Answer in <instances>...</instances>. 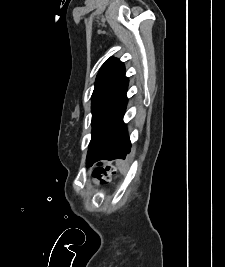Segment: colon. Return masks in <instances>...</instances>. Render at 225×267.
Instances as JSON below:
<instances>
[{
	"label": "colon",
	"mask_w": 225,
	"mask_h": 267,
	"mask_svg": "<svg viewBox=\"0 0 225 267\" xmlns=\"http://www.w3.org/2000/svg\"><path fill=\"white\" fill-rule=\"evenodd\" d=\"M114 167L110 162H100L93 171V182L97 186H106L110 183Z\"/></svg>",
	"instance_id": "colon-1"
}]
</instances>
